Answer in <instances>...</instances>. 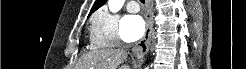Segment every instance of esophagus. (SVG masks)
I'll return each instance as SVG.
<instances>
[{
  "label": "esophagus",
  "mask_w": 246,
  "mask_h": 69,
  "mask_svg": "<svg viewBox=\"0 0 246 69\" xmlns=\"http://www.w3.org/2000/svg\"><path fill=\"white\" fill-rule=\"evenodd\" d=\"M146 6H147V13H146L147 28H146V32H145V35H144L142 41L138 42L132 49L134 55L137 58H143L144 55L147 54L149 47H150V43H151V35H152V30H153V1L152 0H146Z\"/></svg>",
  "instance_id": "obj_1"
}]
</instances>
